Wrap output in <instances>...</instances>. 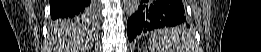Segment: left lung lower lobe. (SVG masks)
<instances>
[{
    "label": "left lung lower lobe",
    "mask_w": 261,
    "mask_h": 52,
    "mask_svg": "<svg viewBox=\"0 0 261 52\" xmlns=\"http://www.w3.org/2000/svg\"><path fill=\"white\" fill-rule=\"evenodd\" d=\"M185 10L181 0H141L138 11L127 21L129 41L158 28L183 27Z\"/></svg>",
    "instance_id": "left-lung-lower-lobe-1"
}]
</instances>
